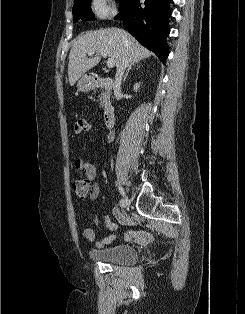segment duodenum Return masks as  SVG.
Masks as SVG:
<instances>
[{
  "label": "duodenum",
  "instance_id": "1",
  "mask_svg": "<svg viewBox=\"0 0 245 314\" xmlns=\"http://www.w3.org/2000/svg\"><path fill=\"white\" fill-rule=\"evenodd\" d=\"M114 81L111 77L95 76L91 79L93 88L111 87ZM105 125L108 129H112L115 123V109L112 105H107L104 110Z\"/></svg>",
  "mask_w": 245,
  "mask_h": 314
}]
</instances>
